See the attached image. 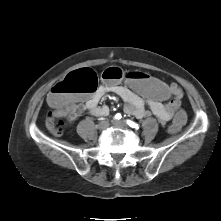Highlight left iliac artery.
<instances>
[{
	"mask_svg": "<svg viewBox=\"0 0 221 221\" xmlns=\"http://www.w3.org/2000/svg\"><path fill=\"white\" fill-rule=\"evenodd\" d=\"M126 123L131 127V128H135V129H139V125L135 122H133L132 120H127Z\"/></svg>",
	"mask_w": 221,
	"mask_h": 221,
	"instance_id": "1",
	"label": "left iliac artery"
}]
</instances>
